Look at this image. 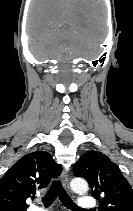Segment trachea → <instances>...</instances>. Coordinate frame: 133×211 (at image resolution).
Instances as JSON below:
<instances>
[{"instance_id":"1","label":"trachea","mask_w":133,"mask_h":211,"mask_svg":"<svg viewBox=\"0 0 133 211\" xmlns=\"http://www.w3.org/2000/svg\"><path fill=\"white\" fill-rule=\"evenodd\" d=\"M57 196L59 197L61 203L64 204L66 207L75 211H81L73 203L69 195L64 190L60 181H53L51 188L49 189L45 197L42 198V202L44 203L45 207L50 206L57 198Z\"/></svg>"}]
</instances>
